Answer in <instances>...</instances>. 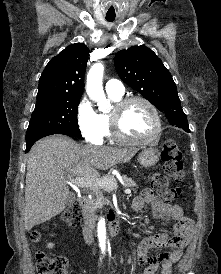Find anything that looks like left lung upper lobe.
<instances>
[{"label":"left lung upper lobe","instance_id":"5c2ea615","mask_svg":"<svg viewBox=\"0 0 221 274\" xmlns=\"http://www.w3.org/2000/svg\"><path fill=\"white\" fill-rule=\"evenodd\" d=\"M115 69L126 84L165 112L171 125L188 126L175 82L151 49L133 46L118 52L115 56Z\"/></svg>","mask_w":221,"mask_h":274}]
</instances>
